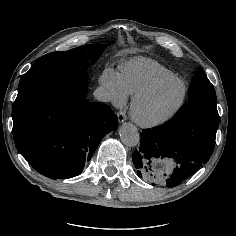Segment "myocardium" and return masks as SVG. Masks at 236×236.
Wrapping results in <instances>:
<instances>
[{
	"mask_svg": "<svg viewBox=\"0 0 236 236\" xmlns=\"http://www.w3.org/2000/svg\"><path fill=\"white\" fill-rule=\"evenodd\" d=\"M173 82H179L182 85V93L179 100L176 104L165 114L160 117L154 119H147L143 117L139 112V104L142 100L148 97L151 93H153L158 88ZM187 96V85L186 83L178 78V77H170V78H163L156 80L149 84L148 86L144 87L140 91H138L132 98L130 103V116L134 123L142 128H156L171 120L182 108L185 99Z\"/></svg>",
	"mask_w": 236,
	"mask_h": 236,
	"instance_id": "myocardium-1",
	"label": "myocardium"
}]
</instances>
